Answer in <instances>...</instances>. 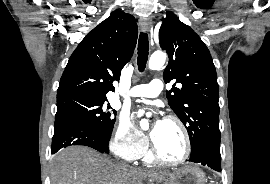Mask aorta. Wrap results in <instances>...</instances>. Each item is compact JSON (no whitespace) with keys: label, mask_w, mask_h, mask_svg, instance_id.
I'll return each instance as SVG.
<instances>
[{"label":"aorta","mask_w":270,"mask_h":184,"mask_svg":"<svg viewBox=\"0 0 270 184\" xmlns=\"http://www.w3.org/2000/svg\"><path fill=\"white\" fill-rule=\"evenodd\" d=\"M166 61V55L162 52H155L151 55L149 60V68L151 70H158L163 67ZM140 126L142 129H147L149 127L148 120L142 119L140 121Z\"/></svg>","instance_id":"aorta-1"}]
</instances>
